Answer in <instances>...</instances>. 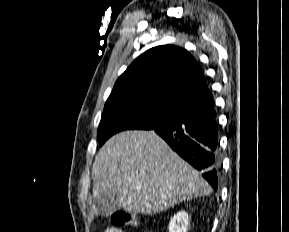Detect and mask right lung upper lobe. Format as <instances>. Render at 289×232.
Wrapping results in <instances>:
<instances>
[{"label": "right lung upper lobe", "mask_w": 289, "mask_h": 232, "mask_svg": "<svg viewBox=\"0 0 289 232\" xmlns=\"http://www.w3.org/2000/svg\"><path fill=\"white\" fill-rule=\"evenodd\" d=\"M114 97H143L180 110L213 100L198 62L174 45L140 55L117 79L109 98Z\"/></svg>", "instance_id": "right-lung-upper-lobe-1"}]
</instances>
